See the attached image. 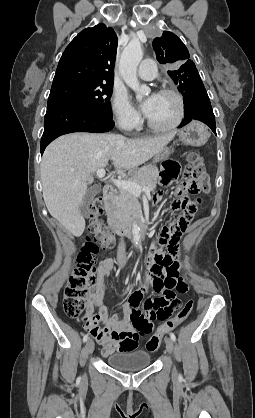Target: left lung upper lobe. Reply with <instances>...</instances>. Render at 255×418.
Listing matches in <instances>:
<instances>
[{
    "label": "left lung upper lobe",
    "instance_id": "obj_1",
    "mask_svg": "<svg viewBox=\"0 0 255 418\" xmlns=\"http://www.w3.org/2000/svg\"><path fill=\"white\" fill-rule=\"evenodd\" d=\"M152 45L158 62L173 66L168 75L183 96L204 87L194 62L189 59L188 49L175 34L164 31L161 37L153 40Z\"/></svg>",
    "mask_w": 255,
    "mask_h": 418
}]
</instances>
